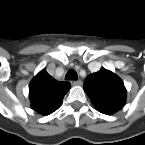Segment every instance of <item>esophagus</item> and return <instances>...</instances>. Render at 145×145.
Masks as SVG:
<instances>
[{"mask_svg":"<svg viewBox=\"0 0 145 145\" xmlns=\"http://www.w3.org/2000/svg\"><path fill=\"white\" fill-rule=\"evenodd\" d=\"M71 84H72V85H82L83 83H82L81 80H72V81H71Z\"/></svg>","mask_w":145,"mask_h":145,"instance_id":"34e87169","label":"esophagus"}]
</instances>
